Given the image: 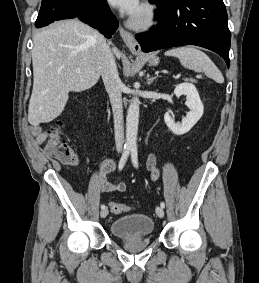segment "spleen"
<instances>
[{"label": "spleen", "instance_id": "obj_1", "mask_svg": "<svg viewBox=\"0 0 259 283\" xmlns=\"http://www.w3.org/2000/svg\"><path fill=\"white\" fill-rule=\"evenodd\" d=\"M165 55L177 57L183 67L195 72H204L217 83L224 82L223 75L211 59L204 52L193 46L171 49L166 51Z\"/></svg>", "mask_w": 259, "mask_h": 283}]
</instances>
